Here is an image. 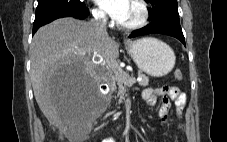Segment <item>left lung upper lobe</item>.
Segmentation results:
<instances>
[{"mask_svg": "<svg viewBox=\"0 0 227 142\" xmlns=\"http://www.w3.org/2000/svg\"><path fill=\"white\" fill-rule=\"evenodd\" d=\"M152 6L148 9L152 22L168 20L179 23L177 0H146Z\"/></svg>", "mask_w": 227, "mask_h": 142, "instance_id": "left-lung-upper-lobe-1", "label": "left lung upper lobe"}]
</instances>
